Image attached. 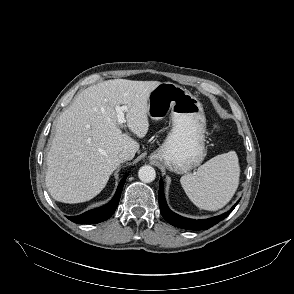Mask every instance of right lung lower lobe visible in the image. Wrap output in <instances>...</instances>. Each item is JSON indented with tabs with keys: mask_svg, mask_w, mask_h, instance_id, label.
<instances>
[{
	"mask_svg": "<svg viewBox=\"0 0 294 294\" xmlns=\"http://www.w3.org/2000/svg\"><path fill=\"white\" fill-rule=\"evenodd\" d=\"M126 177L127 175H125L121 180L113 199L108 204L97 209L90 210L82 215L67 218L78 224H93L107 220L114 213L118 206Z\"/></svg>",
	"mask_w": 294,
	"mask_h": 294,
	"instance_id": "right-lung-lower-lobe-1",
	"label": "right lung lower lobe"
}]
</instances>
